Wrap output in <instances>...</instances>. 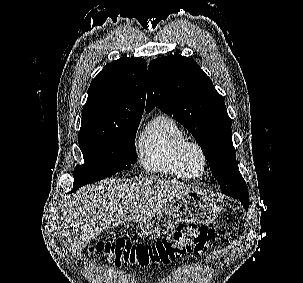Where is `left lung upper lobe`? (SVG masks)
<instances>
[{"instance_id":"5c2ea615","label":"left lung upper lobe","mask_w":303,"mask_h":283,"mask_svg":"<svg viewBox=\"0 0 303 283\" xmlns=\"http://www.w3.org/2000/svg\"><path fill=\"white\" fill-rule=\"evenodd\" d=\"M146 111L155 106L173 116L195 137L224 191L248 196L235 158L232 120L211 79L189 57L170 55L150 62Z\"/></svg>"}]
</instances>
